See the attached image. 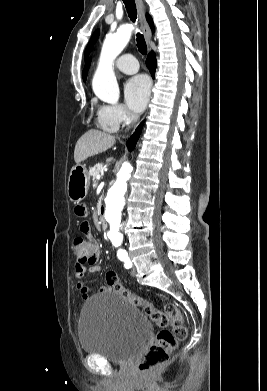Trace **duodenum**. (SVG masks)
<instances>
[{
  "label": "duodenum",
  "instance_id": "duodenum-1",
  "mask_svg": "<svg viewBox=\"0 0 267 391\" xmlns=\"http://www.w3.org/2000/svg\"><path fill=\"white\" fill-rule=\"evenodd\" d=\"M99 223H100V226H101L102 229H106L107 228V222L105 220L102 207H100V209H99Z\"/></svg>",
  "mask_w": 267,
  "mask_h": 391
}]
</instances>
